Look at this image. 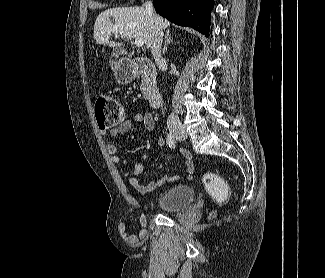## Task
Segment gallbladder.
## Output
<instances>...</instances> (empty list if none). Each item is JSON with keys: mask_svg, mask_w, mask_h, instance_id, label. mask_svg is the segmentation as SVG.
<instances>
[{"mask_svg": "<svg viewBox=\"0 0 325 278\" xmlns=\"http://www.w3.org/2000/svg\"><path fill=\"white\" fill-rule=\"evenodd\" d=\"M121 55H125L128 57H131L132 55L130 53H128L127 51H125L123 48L121 47H117L114 49L112 56L115 58H119ZM110 65L112 66V68L115 66V61L110 62Z\"/></svg>", "mask_w": 325, "mask_h": 278, "instance_id": "gallbladder-1", "label": "gallbladder"}]
</instances>
